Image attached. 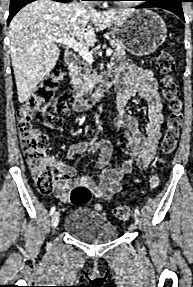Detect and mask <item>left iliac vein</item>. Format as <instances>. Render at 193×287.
<instances>
[{
  "label": "left iliac vein",
  "mask_w": 193,
  "mask_h": 287,
  "mask_svg": "<svg viewBox=\"0 0 193 287\" xmlns=\"http://www.w3.org/2000/svg\"><path fill=\"white\" fill-rule=\"evenodd\" d=\"M133 217H134V220H135V224L137 225L139 223V217H138V215L136 213H134Z\"/></svg>",
  "instance_id": "4c4485c4"
}]
</instances>
